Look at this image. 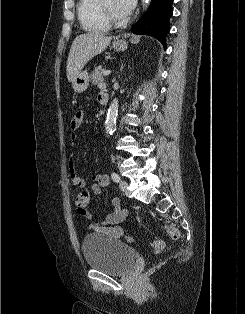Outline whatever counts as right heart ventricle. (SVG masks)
<instances>
[{
	"label": "right heart ventricle",
	"mask_w": 245,
	"mask_h": 314,
	"mask_svg": "<svg viewBox=\"0 0 245 314\" xmlns=\"http://www.w3.org/2000/svg\"><path fill=\"white\" fill-rule=\"evenodd\" d=\"M98 2L99 0H79L77 4L80 24L89 33H103L110 28L99 14Z\"/></svg>",
	"instance_id": "obj_1"
}]
</instances>
